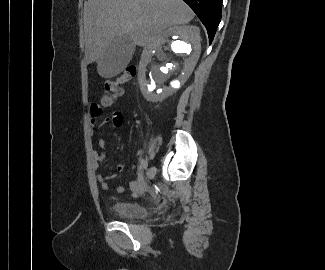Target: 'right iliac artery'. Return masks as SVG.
Returning <instances> with one entry per match:
<instances>
[{"label": "right iliac artery", "mask_w": 325, "mask_h": 270, "mask_svg": "<svg viewBox=\"0 0 325 270\" xmlns=\"http://www.w3.org/2000/svg\"><path fill=\"white\" fill-rule=\"evenodd\" d=\"M140 165H141V167H142L143 169H147V167H148V162H147V160H142Z\"/></svg>", "instance_id": "1"}]
</instances>
